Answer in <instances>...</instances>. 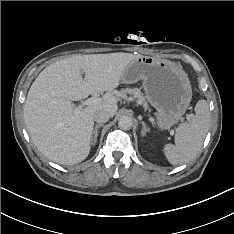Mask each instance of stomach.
Instances as JSON below:
<instances>
[{
  "label": "stomach",
  "instance_id": "obj_1",
  "mask_svg": "<svg viewBox=\"0 0 234 234\" xmlns=\"http://www.w3.org/2000/svg\"><path fill=\"white\" fill-rule=\"evenodd\" d=\"M140 79L148 102L156 109L158 127L170 129L184 115L192 99L187 74L170 60L140 56L124 68L121 82L131 84Z\"/></svg>",
  "mask_w": 234,
  "mask_h": 234
}]
</instances>
